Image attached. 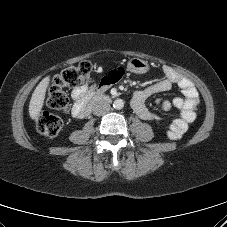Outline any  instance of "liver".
<instances>
[{
  "label": "liver",
  "mask_w": 227,
  "mask_h": 227,
  "mask_svg": "<svg viewBox=\"0 0 227 227\" xmlns=\"http://www.w3.org/2000/svg\"><path fill=\"white\" fill-rule=\"evenodd\" d=\"M50 83V76H46L35 88L30 104H29V115L31 119L35 120L41 112L45 100L46 90Z\"/></svg>",
  "instance_id": "liver-1"
}]
</instances>
